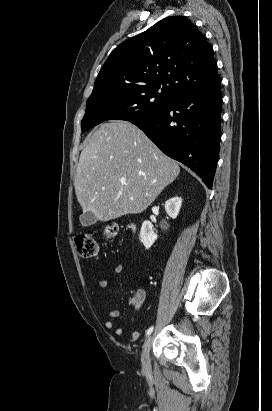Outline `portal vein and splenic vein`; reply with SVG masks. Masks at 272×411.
Returning a JSON list of instances; mask_svg holds the SVG:
<instances>
[{
    "label": "portal vein and splenic vein",
    "instance_id": "1",
    "mask_svg": "<svg viewBox=\"0 0 272 411\" xmlns=\"http://www.w3.org/2000/svg\"><path fill=\"white\" fill-rule=\"evenodd\" d=\"M122 184H123V185H125V184H126V182H125V181H122Z\"/></svg>",
    "mask_w": 272,
    "mask_h": 411
}]
</instances>
